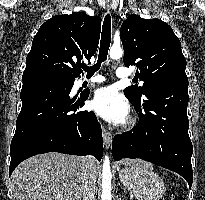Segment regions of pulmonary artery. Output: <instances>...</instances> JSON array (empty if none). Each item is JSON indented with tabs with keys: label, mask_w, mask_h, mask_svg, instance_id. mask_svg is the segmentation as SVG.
Here are the masks:
<instances>
[{
	"label": "pulmonary artery",
	"mask_w": 205,
	"mask_h": 200,
	"mask_svg": "<svg viewBox=\"0 0 205 200\" xmlns=\"http://www.w3.org/2000/svg\"><path fill=\"white\" fill-rule=\"evenodd\" d=\"M116 76L121 79L128 78L130 76V72L126 68L120 67L116 70ZM105 81L106 78L104 76L97 74L89 79H83L81 83L86 82L88 84H95Z\"/></svg>",
	"instance_id": "e3ab8cb5"
}]
</instances>
